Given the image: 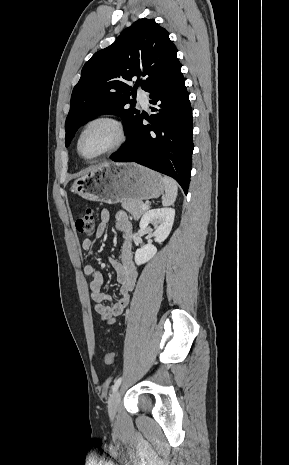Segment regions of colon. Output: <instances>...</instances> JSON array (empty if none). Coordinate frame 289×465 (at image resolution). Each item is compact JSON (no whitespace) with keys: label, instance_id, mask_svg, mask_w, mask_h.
Masks as SVG:
<instances>
[{"label":"colon","instance_id":"obj_1","mask_svg":"<svg viewBox=\"0 0 289 465\" xmlns=\"http://www.w3.org/2000/svg\"><path fill=\"white\" fill-rule=\"evenodd\" d=\"M76 230L87 237L94 234L95 231V216L92 208L86 207L79 212L75 220ZM104 362L107 365H112L115 362V355L113 352H106L104 355Z\"/></svg>","mask_w":289,"mask_h":465}]
</instances>
